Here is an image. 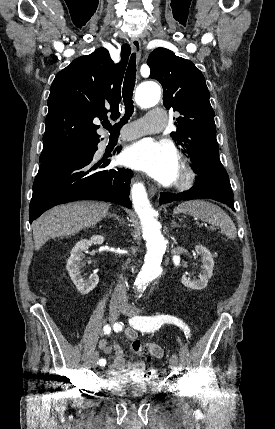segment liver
I'll list each match as a JSON object with an SVG mask.
<instances>
[{
  "instance_id": "liver-1",
  "label": "liver",
  "mask_w": 275,
  "mask_h": 429,
  "mask_svg": "<svg viewBox=\"0 0 275 429\" xmlns=\"http://www.w3.org/2000/svg\"><path fill=\"white\" fill-rule=\"evenodd\" d=\"M109 205L103 202H75L57 206L33 223L36 250L48 240L70 236L94 226L108 214Z\"/></svg>"
}]
</instances>
